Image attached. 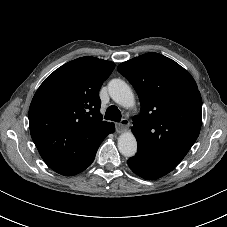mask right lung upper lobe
<instances>
[{"mask_svg": "<svg viewBox=\"0 0 227 227\" xmlns=\"http://www.w3.org/2000/svg\"><path fill=\"white\" fill-rule=\"evenodd\" d=\"M115 64L86 56L50 74L29 108L31 137L45 163L64 176L73 175L96 155L113 128L102 120L100 87Z\"/></svg>", "mask_w": 227, "mask_h": 227, "instance_id": "obj_1", "label": "right lung upper lobe"}]
</instances>
